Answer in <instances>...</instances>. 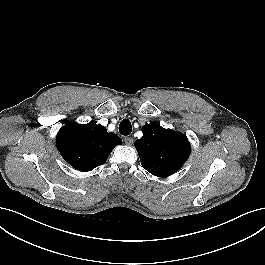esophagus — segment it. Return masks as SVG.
<instances>
[{
	"label": "esophagus",
	"instance_id": "obj_1",
	"mask_svg": "<svg viewBox=\"0 0 265 265\" xmlns=\"http://www.w3.org/2000/svg\"><path fill=\"white\" fill-rule=\"evenodd\" d=\"M124 142L126 145H132L133 144V138L132 137H125Z\"/></svg>",
	"mask_w": 265,
	"mask_h": 265
}]
</instances>
